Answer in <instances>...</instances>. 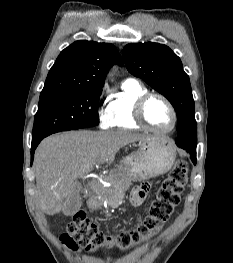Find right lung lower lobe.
I'll list each match as a JSON object with an SVG mask.
<instances>
[{
  "mask_svg": "<svg viewBox=\"0 0 233 263\" xmlns=\"http://www.w3.org/2000/svg\"><path fill=\"white\" fill-rule=\"evenodd\" d=\"M42 139H43V138H42ZM42 139L32 141V146H31V162H33L34 151H35L36 147L38 146V144L41 142Z\"/></svg>",
  "mask_w": 233,
  "mask_h": 263,
  "instance_id": "1",
  "label": "right lung lower lobe"
}]
</instances>
